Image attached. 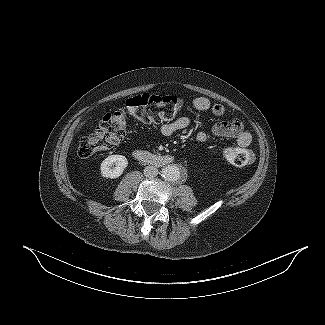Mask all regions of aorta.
<instances>
[{"label":"aorta","mask_w":325,"mask_h":325,"mask_svg":"<svg viewBox=\"0 0 325 325\" xmlns=\"http://www.w3.org/2000/svg\"><path fill=\"white\" fill-rule=\"evenodd\" d=\"M161 176L168 181L175 182L181 178V170L176 165H168L161 170Z\"/></svg>","instance_id":"762f6f07"}]
</instances>
